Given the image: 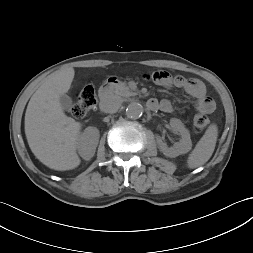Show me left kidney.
I'll return each instance as SVG.
<instances>
[{"label":"left kidney","instance_id":"5707ae66","mask_svg":"<svg viewBox=\"0 0 253 253\" xmlns=\"http://www.w3.org/2000/svg\"><path fill=\"white\" fill-rule=\"evenodd\" d=\"M172 129L181 135L179 142L173 147H168L160 138L157 139L159 150L167 157L173 158L185 154L191 150L192 142L189 131L184 127L179 119L172 118L170 120Z\"/></svg>","mask_w":253,"mask_h":253}]
</instances>
